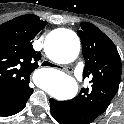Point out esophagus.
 Here are the masks:
<instances>
[{
	"mask_svg": "<svg viewBox=\"0 0 124 124\" xmlns=\"http://www.w3.org/2000/svg\"><path fill=\"white\" fill-rule=\"evenodd\" d=\"M64 70H65L67 73H71V72H72V69H71V68H68V67H65Z\"/></svg>",
	"mask_w": 124,
	"mask_h": 124,
	"instance_id": "34e87169",
	"label": "esophagus"
}]
</instances>
